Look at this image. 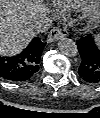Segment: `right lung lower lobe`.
I'll list each match as a JSON object with an SVG mask.
<instances>
[{
  "mask_svg": "<svg viewBox=\"0 0 100 118\" xmlns=\"http://www.w3.org/2000/svg\"><path fill=\"white\" fill-rule=\"evenodd\" d=\"M46 43L35 37L27 48L13 57H0V77L21 82L31 78L39 70L42 50Z\"/></svg>",
  "mask_w": 100,
  "mask_h": 118,
  "instance_id": "right-lung-lower-lobe-1",
  "label": "right lung lower lobe"
}]
</instances>
